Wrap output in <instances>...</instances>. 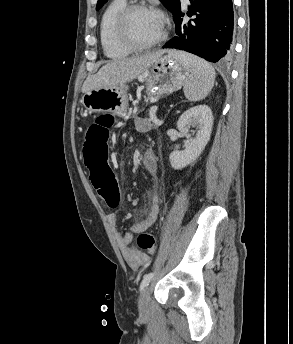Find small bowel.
I'll return each mask as SVG.
<instances>
[{"instance_id":"c3829d8e","label":"small bowel","mask_w":293,"mask_h":344,"mask_svg":"<svg viewBox=\"0 0 293 344\" xmlns=\"http://www.w3.org/2000/svg\"><path fill=\"white\" fill-rule=\"evenodd\" d=\"M135 126L137 130L141 132H146L150 129L151 123L145 119V118H138L135 122ZM147 153H150L152 156V152L147 151ZM146 166V169L151 174H156L158 172V166L153 158L150 165ZM159 207H158V195L156 191L152 192L151 194V205L149 208V211L147 215L139 222L133 225L132 230L134 232H139L146 230L149 228L156 220L158 215ZM109 221L113 227L114 235L116 242L122 252V255L125 259V261L128 263V265L134 269H139L142 265L146 264L149 260L147 255L141 254L138 250L130 247L131 243V234L130 233H123L117 228V220L115 213L109 214Z\"/></svg>"}]
</instances>
